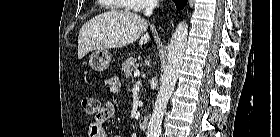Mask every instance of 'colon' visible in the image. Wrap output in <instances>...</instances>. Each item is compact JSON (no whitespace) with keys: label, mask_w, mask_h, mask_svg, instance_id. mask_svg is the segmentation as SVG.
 I'll list each match as a JSON object with an SVG mask.
<instances>
[{"label":"colon","mask_w":280,"mask_h":137,"mask_svg":"<svg viewBox=\"0 0 280 137\" xmlns=\"http://www.w3.org/2000/svg\"><path fill=\"white\" fill-rule=\"evenodd\" d=\"M82 107L88 115H95L99 111V101L94 97H83Z\"/></svg>","instance_id":"5ec220e1"}]
</instances>
